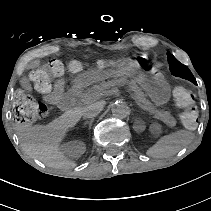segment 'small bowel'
<instances>
[{
    "mask_svg": "<svg viewBox=\"0 0 211 211\" xmlns=\"http://www.w3.org/2000/svg\"><path fill=\"white\" fill-rule=\"evenodd\" d=\"M38 65L37 62H33L30 65V68H34ZM23 86L26 89H29V84L26 81V79H24L23 81ZM64 88H65V82L63 79H59L55 82L51 92L45 96V100L51 104H58V101L60 100V98L63 96L64 93Z\"/></svg>",
    "mask_w": 211,
    "mask_h": 211,
    "instance_id": "obj_1",
    "label": "small bowel"
}]
</instances>
